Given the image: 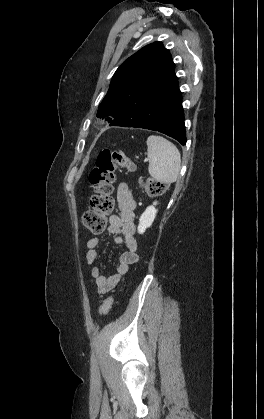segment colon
Masks as SVG:
<instances>
[{
    "mask_svg": "<svg viewBox=\"0 0 264 419\" xmlns=\"http://www.w3.org/2000/svg\"><path fill=\"white\" fill-rule=\"evenodd\" d=\"M117 169L134 171L135 164L124 153L105 149L98 154L95 166L89 174L93 194L90 197V208L83 215V225L92 233L104 230L106 218L113 210V182ZM141 183L146 192L152 196L161 195L168 188L167 183L151 178ZM112 303V297L106 298L100 306V314L105 316L111 309Z\"/></svg>",
    "mask_w": 264,
    "mask_h": 419,
    "instance_id": "obj_1",
    "label": "colon"
}]
</instances>
